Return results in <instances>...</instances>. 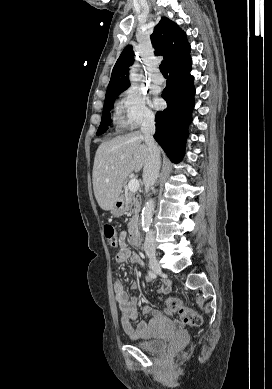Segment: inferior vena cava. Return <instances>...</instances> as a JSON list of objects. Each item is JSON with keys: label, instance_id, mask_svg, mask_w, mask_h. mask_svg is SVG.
<instances>
[{"label": "inferior vena cava", "instance_id": "obj_1", "mask_svg": "<svg viewBox=\"0 0 272 389\" xmlns=\"http://www.w3.org/2000/svg\"><path fill=\"white\" fill-rule=\"evenodd\" d=\"M141 132L144 135L145 142L148 146V157L143 169V181L146 191L154 185L158 178L160 170V151L155 143L153 135L155 133L154 116H148L141 125ZM144 250L146 253H155V235L152 230L146 233Z\"/></svg>", "mask_w": 272, "mask_h": 389}]
</instances>
